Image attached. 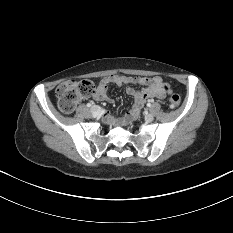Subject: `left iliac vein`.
<instances>
[{
    "instance_id": "left-iliac-vein-1",
    "label": "left iliac vein",
    "mask_w": 233,
    "mask_h": 233,
    "mask_svg": "<svg viewBox=\"0 0 233 233\" xmlns=\"http://www.w3.org/2000/svg\"><path fill=\"white\" fill-rule=\"evenodd\" d=\"M144 118L147 122H152L154 120V116L150 113L146 114Z\"/></svg>"
}]
</instances>
